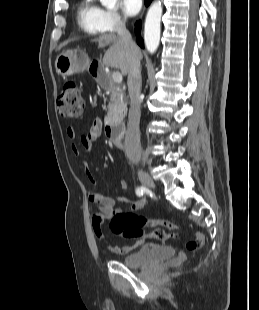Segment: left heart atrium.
<instances>
[{
    "mask_svg": "<svg viewBox=\"0 0 259 310\" xmlns=\"http://www.w3.org/2000/svg\"><path fill=\"white\" fill-rule=\"evenodd\" d=\"M121 5L127 16H135L142 8V0H121Z\"/></svg>",
    "mask_w": 259,
    "mask_h": 310,
    "instance_id": "left-heart-atrium-1",
    "label": "left heart atrium"
}]
</instances>
